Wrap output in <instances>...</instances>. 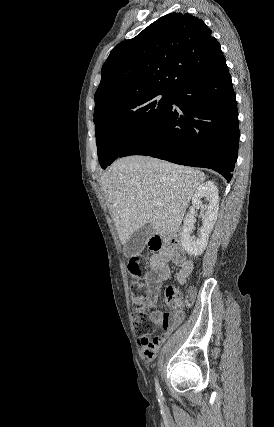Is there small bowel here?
I'll list each match as a JSON object with an SVG mask.
<instances>
[{
  "label": "small bowel",
  "instance_id": "small-bowel-1",
  "mask_svg": "<svg viewBox=\"0 0 274 427\" xmlns=\"http://www.w3.org/2000/svg\"><path fill=\"white\" fill-rule=\"evenodd\" d=\"M170 262L179 269L177 280L180 284H184L187 281L194 269L193 260L187 257L184 247L177 241L167 245H160L151 256L150 271L146 272L143 276L146 291L145 304L151 309L149 314L150 319L160 326L161 333L153 337L142 336L140 339L142 354L148 360L156 356L175 325L176 316L174 313H162L155 309L162 283L171 276ZM166 304L170 308L173 307V299L166 298Z\"/></svg>",
  "mask_w": 274,
  "mask_h": 427
}]
</instances>
